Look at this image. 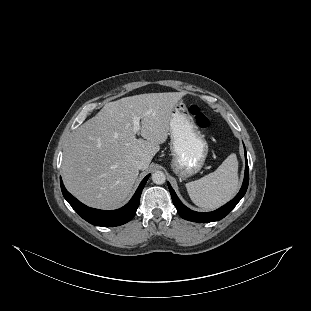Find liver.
Listing matches in <instances>:
<instances>
[{
	"label": "liver",
	"instance_id": "obj_1",
	"mask_svg": "<svg viewBox=\"0 0 311 311\" xmlns=\"http://www.w3.org/2000/svg\"><path fill=\"white\" fill-rule=\"evenodd\" d=\"M184 92L146 93L107 103L79 126L63 154L62 176L67 189L85 204L102 209L122 206L139 175L170 135V121ZM142 130L134 129L133 118ZM137 132L142 138H137Z\"/></svg>",
	"mask_w": 311,
	"mask_h": 311
}]
</instances>
